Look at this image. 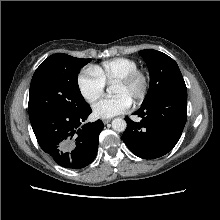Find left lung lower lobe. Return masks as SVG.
<instances>
[{
	"instance_id": "0a47b994",
	"label": "left lung lower lobe",
	"mask_w": 220,
	"mask_h": 220,
	"mask_svg": "<svg viewBox=\"0 0 220 220\" xmlns=\"http://www.w3.org/2000/svg\"><path fill=\"white\" fill-rule=\"evenodd\" d=\"M140 123L126 118L122 139L135 155L155 159L173 149L187 119V90L165 94L134 113Z\"/></svg>"
}]
</instances>
